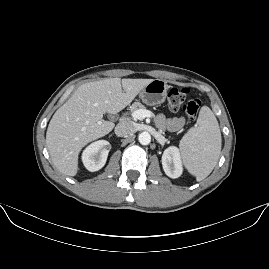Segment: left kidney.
<instances>
[{
	"label": "left kidney",
	"instance_id": "1",
	"mask_svg": "<svg viewBox=\"0 0 269 269\" xmlns=\"http://www.w3.org/2000/svg\"><path fill=\"white\" fill-rule=\"evenodd\" d=\"M162 166L165 174L170 178H178L182 175L183 168L177 147L170 146L165 149L162 155Z\"/></svg>",
	"mask_w": 269,
	"mask_h": 269
}]
</instances>
